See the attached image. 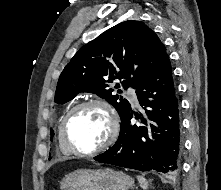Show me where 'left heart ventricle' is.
Here are the masks:
<instances>
[{
  "mask_svg": "<svg viewBox=\"0 0 221 190\" xmlns=\"http://www.w3.org/2000/svg\"><path fill=\"white\" fill-rule=\"evenodd\" d=\"M110 128V119L104 108L97 105L79 109L68 124L70 141L79 149L90 150L102 144Z\"/></svg>",
  "mask_w": 221,
  "mask_h": 190,
  "instance_id": "b2bd125f",
  "label": "left heart ventricle"
}]
</instances>
